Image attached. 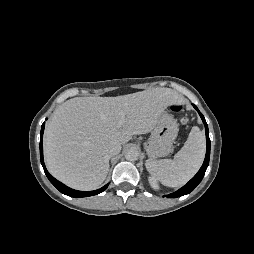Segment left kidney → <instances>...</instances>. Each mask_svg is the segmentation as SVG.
<instances>
[{
  "label": "left kidney",
  "instance_id": "left-kidney-1",
  "mask_svg": "<svg viewBox=\"0 0 254 254\" xmlns=\"http://www.w3.org/2000/svg\"><path fill=\"white\" fill-rule=\"evenodd\" d=\"M148 181H149V184L151 185V187L154 189V190H158L159 189V185L157 183V180L154 178V177H149L148 178Z\"/></svg>",
  "mask_w": 254,
  "mask_h": 254
}]
</instances>
